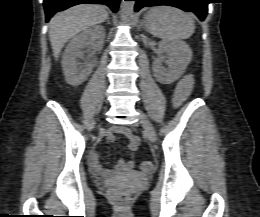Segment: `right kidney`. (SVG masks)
<instances>
[{"instance_id":"ca27d5eb","label":"right kidney","mask_w":260,"mask_h":217,"mask_svg":"<svg viewBox=\"0 0 260 217\" xmlns=\"http://www.w3.org/2000/svg\"><path fill=\"white\" fill-rule=\"evenodd\" d=\"M104 38L105 29L100 25L84 29L80 34L72 37L62 59L63 72L67 83L78 86L87 80L92 72V66L88 62L81 63V60H84L82 50L86 47L99 48L103 44Z\"/></svg>"}]
</instances>
